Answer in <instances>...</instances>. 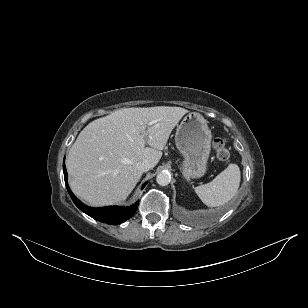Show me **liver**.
Returning a JSON list of instances; mask_svg holds the SVG:
<instances>
[{
  "mask_svg": "<svg viewBox=\"0 0 308 308\" xmlns=\"http://www.w3.org/2000/svg\"><path fill=\"white\" fill-rule=\"evenodd\" d=\"M186 113L169 106L122 108L89 123L66 159L73 193L95 207L125 200L142 175L136 164L146 159L152 168L157 165L172 130Z\"/></svg>",
  "mask_w": 308,
  "mask_h": 308,
  "instance_id": "liver-1",
  "label": "liver"
}]
</instances>
